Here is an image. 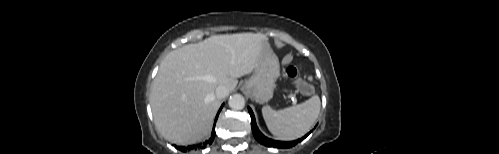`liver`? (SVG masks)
I'll return each mask as SVG.
<instances>
[{"label":"liver","mask_w":499,"mask_h":154,"mask_svg":"<svg viewBox=\"0 0 499 154\" xmlns=\"http://www.w3.org/2000/svg\"><path fill=\"white\" fill-rule=\"evenodd\" d=\"M268 38L261 33L214 35L170 52L152 83L150 103L161 135L178 145L208 138L220 107L216 88L229 92L255 70Z\"/></svg>","instance_id":"6515ba94"}]
</instances>
